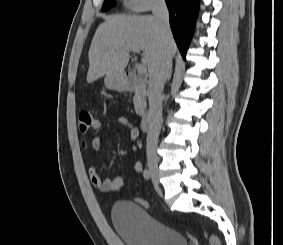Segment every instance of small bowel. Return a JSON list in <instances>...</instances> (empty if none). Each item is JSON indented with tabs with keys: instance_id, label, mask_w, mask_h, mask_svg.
<instances>
[{
	"instance_id": "obj_1",
	"label": "small bowel",
	"mask_w": 283,
	"mask_h": 245,
	"mask_svg": "<svg viewBox=\"0 0 283 245\" xmlns=\"http://www.w3.org/2000/svg\"><path fill=\"white\" fill-rule=\"evenodd\" d=\"M118 123L123 125L129 133V137L131 140H136L139 136V129L136 127L135 124H133L131 121H129L125 117H119ZM90 146L94 151H102L106 148V145L103 140V136L101 134L95 135L90 142ZM143 167L141 162L137 161L133 165V170L137 173H140L142 171ZM88 174L91 184L99 191L101 192H108L111 191V183L112 179H102L98 173L96 172L92 162L88 168Z\"/></svg>"
}]
</instances>
